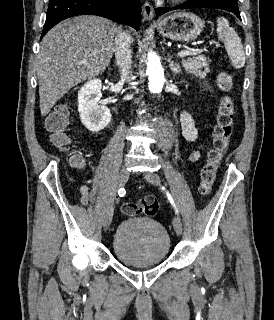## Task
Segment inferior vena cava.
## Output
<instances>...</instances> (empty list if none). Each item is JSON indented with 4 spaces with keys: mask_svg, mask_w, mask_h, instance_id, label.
I'll use <instances>...</instances> for the list:
<instances>
[{
    "mask_svg": "<svg viewBox=\"0 0 274 320\" xmlns=\"http://www.w3.org/2000/svg\"><path fill=\"white\" fill-rule=\"evenodd\" d=\"M115 58L119 72L121 74L122 80H127L131 82L132 72H131V50L130 44L132 38L127 32H123L121 28H115Z\"/></svg>",
    "mask_w": 274,
    "mask_h": 320,
    "instance_id": "obj_1",
    "label": "inferior vena cava"
}]
</instances>
